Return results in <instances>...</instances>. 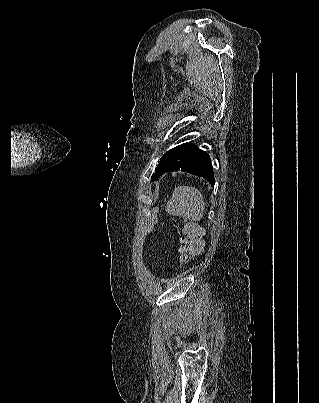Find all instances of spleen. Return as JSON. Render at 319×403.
<instances>
[{
  "label": "spleen",
  "instance_id": "1",
  "mask_svg": "<svg viewBox=\"0 0 319 403\" xmlns=\"http://www.w3.org/2000/svg\"><path fill=\"white\" fill-rule=\"evenodd\" d=\"M166 211L173 216L200 221L205 212L204 197L192 186H178L167 203Z\"/></svg>",
  "mask_w": 319,
  "mask_h": 403
}]
</instances>
